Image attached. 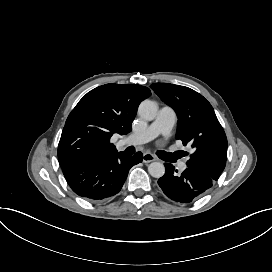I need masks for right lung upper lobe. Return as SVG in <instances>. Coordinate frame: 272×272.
<instances>
[{"label":"right lung upper lobe","mask_w":272,"mask_h":272,"mask_svg":"<svg viewBox=\"0 0 272 272\" xmlns=\"http://www.w3.org/2000/svg\"><path fill=\"white\" fill-rule=\"evenodd\" d=\"M151 95L137 84H105L88 92L69 114L58 145L61 168L71 163L117 152L114 133L127 134L138 105Z\"/></svg>","instance_id":"1"}]
</instances>
